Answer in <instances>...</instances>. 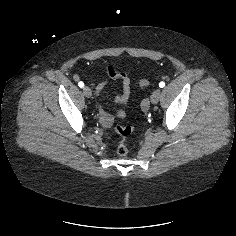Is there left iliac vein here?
<instances>
[{
    "label": "left iliac vein",
    "instance_id": "obj_1",
    "mask_svg": "<svg viewBox=\"0 0 236 236\" xmlns=\"http://www.w3.org/2000/svg\"><path fill=\"white\" fill-rule=\"evenodd\" d=\"M160 97H161V90L160 89L154 90V92L151 95V103L157 104L160 100Z\"/></svg>",
    "mask_w": 236,
    "mask_h": 236
}]
</instances>
